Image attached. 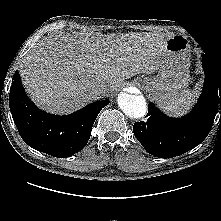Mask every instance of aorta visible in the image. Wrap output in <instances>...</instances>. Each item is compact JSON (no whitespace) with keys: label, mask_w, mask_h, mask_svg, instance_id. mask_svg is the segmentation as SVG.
I'll return each mask as SVG.
<instances>
[{"label":"aorta","mask_w":221,"mask_h":221,"mask_svg":"<svg viewBox=\"0 0 221 221\" xmlns=\"http://www.w3.org/2000/svg\"><path fill=\"white\" fill-rule=\"evenodd\" d=\"M118 106L130 118L140 119L146 115L147 106L142 95L121 92L117 98Z\"/></svg>","instance_id":"aorta-1"}]
</instances>
